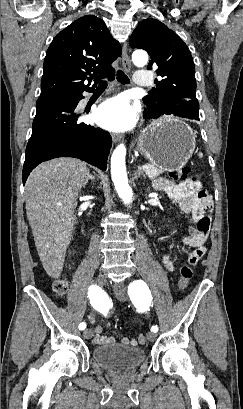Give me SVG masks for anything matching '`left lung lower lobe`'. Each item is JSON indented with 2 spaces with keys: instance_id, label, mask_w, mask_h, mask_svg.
Instances as JSON below:
<instances>
[{
  "instance_id": "1",
  "label": "left lung lower lobe",
  "mask_w": 243,
  "mask_h": 409,
  "mask_svg": "<svg viewBox=\"0 0 243 409\" xmlns=\"http://www.w3.org/2000/svg\"><path fill=\"white\" fill-rule=\"evenodd\" d=\"M198 111L194 109L191 105H179L172 109L167 110L166 113L164 114H174L176 116H180L184 118L199 120ZM145 114H146L147 119H150V118L155 119L161 116L159 115V113H152L149 111H146Z\"/></svg>"
}]
</instances>
